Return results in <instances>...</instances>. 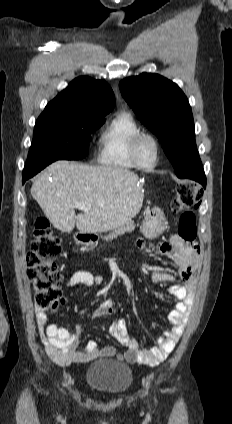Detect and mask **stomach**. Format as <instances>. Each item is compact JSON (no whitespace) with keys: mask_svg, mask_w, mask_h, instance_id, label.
Returning a JSON list of instances; mask_svg holds the SVG:
<instances>
[{"mask_svg":"<svg viewBox=\"0 0 232 424\" xmlns=\"http://www.w3.org/2000/svg\"><path fill=\"white\" fill-rule=\"evenodd\" d=\"M166 228L167 220L163 211L160 209H153L146 215L141 230L146 238L154 239L162 234ZM76 240L78 243L90 246L91 248L96 246V238L94 237L76 238Z\"/></svg>","mask_w":232,"mask_h":424,"instance_id":"1","label":"stomach"}]
</instances>
